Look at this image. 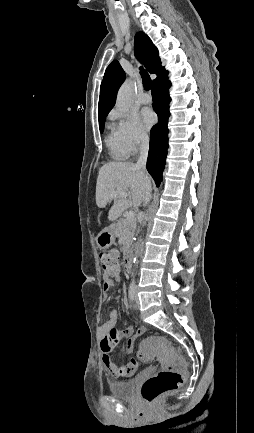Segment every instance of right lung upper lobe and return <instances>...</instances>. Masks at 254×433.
Returning a JSON list of instances; mask_svg holds the SVG:
<instances>
[{
    "label": "right lung upper lobe",
    "mask_w": 254,
    "mask_h": 433,
    "mask_svg": "<svg viewBox=\"0 0 254 433\" xmlns=\"http://www.w3.org/2000/svg\"><path fill=\"white\" fill-rule=\"evenodd\" d=\"M136 57L144 64L149 73L157 75L153 84L167 74L164 67H161V60L158 50L150 38L142 31L136 33L134 39ZM125 72L117 60H114L107 67L101 86L98 105L99 122L104 121L116 101V95L121 84L125 80Z\"/></svg>",
    "instance_id": "right-lung-upper-lobe-1"
}]
</instances>
